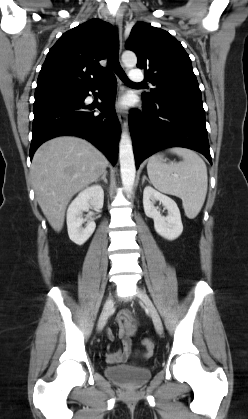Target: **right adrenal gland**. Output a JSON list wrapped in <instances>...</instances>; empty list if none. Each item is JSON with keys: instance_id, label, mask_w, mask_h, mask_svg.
Listing matches in <instances>:
<instances>
[{"instance_id": "right-adrenal-gland-1", "label": "right adrenal gland", "mask_w": 248, "mask_h": 419, "mask_svg": "<svg viewBox=\"0 0 248 419\" xmlns=\"http://www.w3.org/2000/svg\"><path fill=\"white\" fill-rule=\"evenodd\" d=\"M107 173H108L107 170H104L101 178L97 179V182L100 180H104L105 183H108L107 178H106Z\"/></svg>"}]
</instances>
